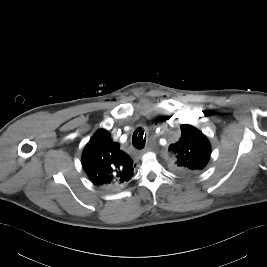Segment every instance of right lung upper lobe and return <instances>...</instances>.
<instances>
[{"instance_id":"right-lung-upper-lobe-1","label":"right lung upper lobe","mask_w":267,"mask_h":267,"mask_svg":"<svg viewBox=\"0 0 267 267\" xmlns=\"http://www.w3.org/2000/svg\"><path fill=\"white\" fill-rule=\"evenodd\" d=\"M82 166L91 182L106 188H122L133 176V161L110 134L98 130L85 146Z\"/></svg>"}]
</instances>
